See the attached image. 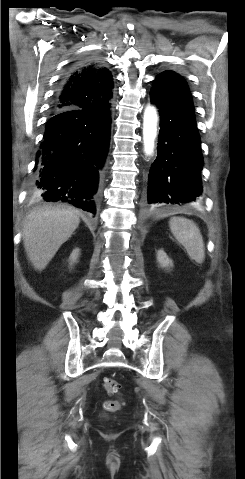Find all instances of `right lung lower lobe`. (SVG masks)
I'll return each instance as SVG.
<instances>
[{"instance_id":"98d812e1","label":"right lung lower lobe","mask_w":245,"mask_h":479,"mask_svg":"<svg viewBox=\"0 0 245 479\" xmlns=\"http://www.w3.org/2000/svg\"><path fill=\"white\" fill-rule=\"evenodd\" d=\"M111 116L112 102L52 113L37 153L31 185L35 199L65 202L95 214L108 153Z\"/></svg>"}]
</instances>
